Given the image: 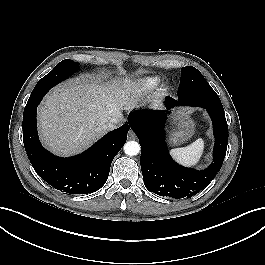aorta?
I'll return each instance as SVG.
<instances>
[{"label":"aorta","instance_id":"obj_1","mask_svg":"<svg viewBox=\"0 0 265 265\" xmlns=\"http://www.w3.org/2000/svg\"><path fill=\"white\" fill-rule=\"evenodd\" d=\"M124 152L129 156H135L140 152V145L136 141H128L124 145Z\"/></svg>","mask_w":265,"mask_h":265}]
</instances>
